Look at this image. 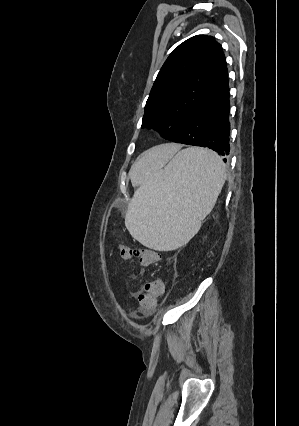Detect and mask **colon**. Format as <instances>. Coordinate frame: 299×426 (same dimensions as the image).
<instances>
[{
  "instance_id": "obj_1",
  "label": "colon",
  "mask_w": 299,
  "mask_h": 426,
  "mask_svg": "<svg viewBox=\"0 0 299 426\" xmlns=\"http://www.w3.org/2000/svg\"><path fill=\"white\" fill-rule=\"evenodd\" d=\"M119 252L123 259L129 260L136 258L142 266L155 264L160 259V254L153 249H134L127 245H119ZM165 290L164 281L160 278L148 281L144 284L142 290L137 295L140 312L144 316H150L154 313L159 298Z\"/></svg>"
}]
</instances>
